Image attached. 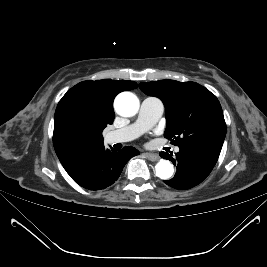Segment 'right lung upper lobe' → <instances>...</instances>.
<instances>
[{
	"label": "right lung upper lobe",
	"instance_id": "cb5924a9",
	"mask_svg": "<svg viewBox=\"0 0 267 267\" xmlns=\"http://www.w3.org/2000/svg\"><path fill=\"white\" fill-rule=\"evenodd\" d=\"M137 87L128 80L83 81L72 87L55 111L53 145L60 162L103 144L102 131L115 118V96Z\"/></svg>",
	"mask_w": 267,
	"mask_h": 267
}]
</instances>
